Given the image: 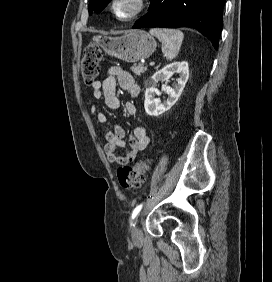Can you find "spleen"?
I'll return each mask as SVG.
<instances>
[{
	"label": "spleen",
	"instance_id": "spleen-1",
	"mask_svg": "<svg viewBox=\"0 0 272 282\" xmlns=\"http://www.w3.org/2000/svg\"><path fill=\"white\" fill-rule=\"evenodd\" d=\"M150 34L161 41L162 52L167 60H173L178 55L184 38V34L180 30L152 28Z\"/></svg>",
	"mask_w": 272,
	"mask_h": 282
}]
</instances>
